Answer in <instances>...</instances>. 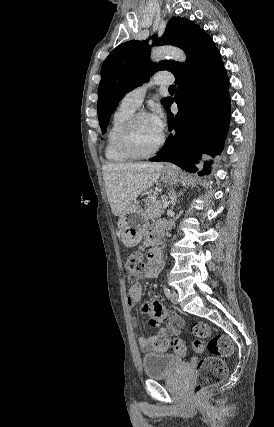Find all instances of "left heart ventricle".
Wrapping results in <instances>:
<instances>
[{"instance_id": "1", "label": "left heart ventricle", "mask_w": 274, "mask_h": 427, "mask_svg": "<svg viewBox=\"0 0 274 427\" xmlns=\"http://www.w3.org/2000/svg\"><path fill=\"white\" fill-rule=\"evenodd\" d=\"M162 135L155 129L149 116L141 117L133 129L132 146L137 153L147 154L155 149Z\"/></svg>"}]
</instances>
